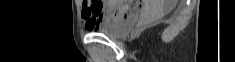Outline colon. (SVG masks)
<instances>
[{"label":"colon","mask_w":235,"mask_h":62,"mask_svg":"<svg viewBox=\"0 0 235 62\" xmlns=\"http://www.w3.org/2000/svg\"><path fill=\"white\" fill-rule=\"evenodd\" d=\"M113 3H114L113 4V12H112V22L113 23H115V22L119 21L120 19L124 18L130 12H132L133 10H135L138 7V5H137L135 7L130 8L126 5V2H123V1L122 2H120V1L119 2H113ZM93 5L96 9H99V8H101V6H103L102 3H95Z\"/></svg>","instance_id":"colon-1"}]
</instances>
